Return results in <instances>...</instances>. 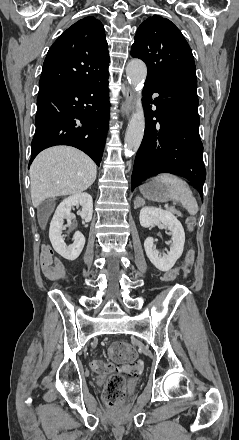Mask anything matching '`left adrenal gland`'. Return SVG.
I'll use <instances>...</instances> for the list:
<instances>
[{
    "instance_id": "left-adrenal-gland-1",
    "label": "left adrenal gland",
    "mask_w": 239,
    "mask_h": 440,
    "mask_svg": "<svg viewBox=\"0 0 239 440\" xmlns=\"http://www.w3.org/2000/svg\"><path fill=\"white\" fill-rule=\"evenodd\" d=\"M135 204H136V202H135ZM135 208H138V206H135Z\"/></svg>"
}]
</instances>
